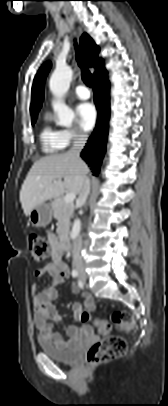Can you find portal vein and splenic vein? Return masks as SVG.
<instances>
[{
	"label": "portal vein and splenic vein",
	"mask_w": 168,
	"mask_h": 406,
	"mask_svg": "<svg viewBox=\"0 0 168 406\" xmlns=\"http://www.w3.org/2000/svg\"><path fill=\"white\" fill-rule=\"evenodd\" d=\"M75 197H76V195L74 193H68L64 197V202L67 204L73 203Z\"/></svg>",
	"instance_id": "1"
}]
</instances>
